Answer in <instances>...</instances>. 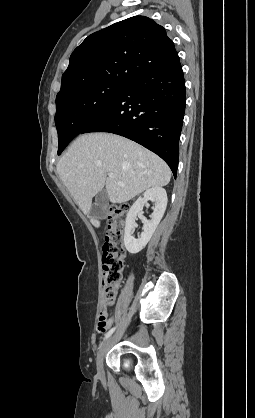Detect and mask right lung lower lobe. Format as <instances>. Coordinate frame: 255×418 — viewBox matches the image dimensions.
Here are the masks:
<instances>
[{
  "label": "right lung lower lobe",
  "mask_w": 255,
  "mask_h": 418,
  "mask_svg": "<svg viewBox=\"0 0 255 418\" xmlns=\"http://www.w3.org/2000/svg\"><path fill=\"white\" fill-rule=\"evenodd\" d=\"M185 103L178 60L130 82L80 134L110 132L129 138L159 155L176 177Z\"/></svg>",
  "instance_id": "right-lung-lower-lobe-1"
}]
</instances>
